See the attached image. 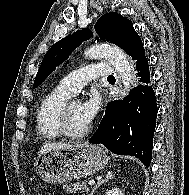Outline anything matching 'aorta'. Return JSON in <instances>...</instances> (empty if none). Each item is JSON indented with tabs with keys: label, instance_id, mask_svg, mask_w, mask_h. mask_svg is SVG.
<instances>
[{
	"label": "aorta",
	"instance_id": "762f6f07",
	"mask_svg": "<svg viewBox=\"0 0 189 195\" xmlns=\"http://www.w3.org/2000/svg\"><path fill=\"white\" fill-rule=\"evenodd\" d=\"M90 59L105 57L115 67L118 72L122 86L123 96L128 95L132 83L133 69L126 53L117 46L101 44L90 47L85 52Z\"/></svg>",
	"mask_w": 189,
	"mask_h": 195
}]
</instances>
